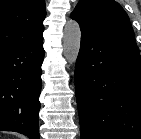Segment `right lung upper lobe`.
<instances>
[{
    "label": "right lung upper lobe",
    "instance_id": "1",
    "mask_svg": "<svg viewBox=\"0 0 141 139\" xmlns=\"http://www.w3.org/2000/svg\"><path fill=\"white\" fill-rule=\"evenodd\" d=\"M44 0H0V51L43 35Z\"/></svg>",
    "mask_w": 141,
    "mask_h": 139
}]
</instances>
